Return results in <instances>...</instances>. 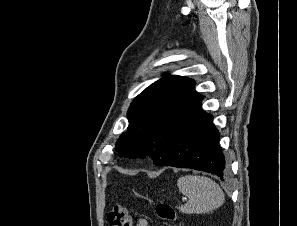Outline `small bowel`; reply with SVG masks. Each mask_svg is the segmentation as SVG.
Here are the masks:
<instances>
[{"label":"small bowel","mask_w":297,"mask_h":226,"mask_svg":"<svg viewBox=\"0 0 297 226\" xmlns=\"http://www.w3.org/2000/svg\"><path fill=\"white\" fill-rule=\"evenodd\" d=\"M138 226H149L146 221L140 220Z\"/></svg>","instance_id":"c3829d8e"}]
</instances>
